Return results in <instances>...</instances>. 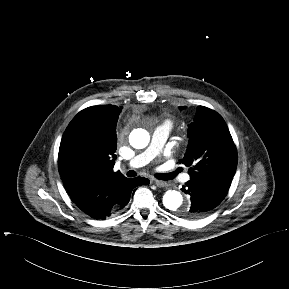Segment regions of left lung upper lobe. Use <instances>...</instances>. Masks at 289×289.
Wrapping results in <instances>:
<instances>
[{"label": "left lung upper lobe", "instance_id": "obj_1", "mask_svg": "<svg viewBox=\"0 0 289 289\" xmlns=\"http://www.w3.org/2000/svg\"><path fill=\"white\" fill-rule=\"evenodd\" d=\"M186 106H180L183 110ZM189 143L182 163L191 180L229 188L237 167V150L223 118L204 106L188 126Z\"/></svg>", "mask_w": 289, "mask_h": 289}]
</instances>
